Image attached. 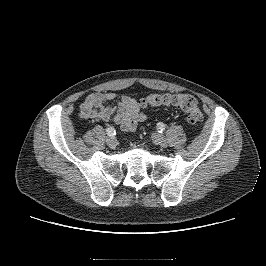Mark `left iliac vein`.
I'll use <instances>...</instances> for the list:
<instances>
[{"label":"left iliac vein","instance_id":"left-iliac-vein-1","mask_svg":"<svg viewBox=\"0 0 266 266\" xmlns=\"http://www.w3.org/2000/svg\"><path fill=\"white\" fill-rule=\"evenodd\" d=\"M152 140L153 142L161 147H166L167 146V140L165 139V137L159 133H153L152 134Z\"/></svg>","mask_w":266,"mask_h":266}]
</instances>
